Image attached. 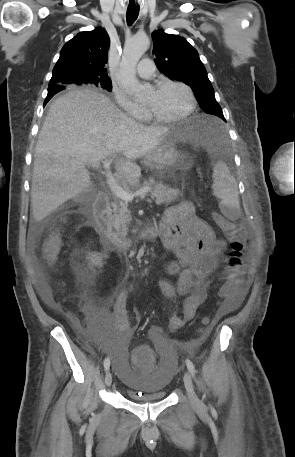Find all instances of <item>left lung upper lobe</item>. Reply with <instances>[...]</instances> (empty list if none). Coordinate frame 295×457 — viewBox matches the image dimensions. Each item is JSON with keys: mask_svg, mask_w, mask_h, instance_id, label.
<instances>
[{"mask_svg": "<svg viewBox=\"0 0 295 457\" xmlns=\"http://www.w3.org/2000/svg\"><path fill=\"white\" fill-rule=\"evenodd\" d=\"M153 54L159 70L169 79L189 85L204 112L223 120L222 109L197 50L184 37L162 30L152 33Z\"/></svg>", "mask_w": 295, "mask_h": 457, "instance_id": "1", "label": "left lung upper lobe"}]
</instances>
